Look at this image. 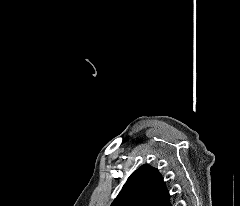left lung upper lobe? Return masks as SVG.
Returning a JSON list of instances; mask_svg holds the SVG:
<instances>
[{
	"label": "left lung upper lobe",
	"mask_w": 240,
	"mask_h": 206,
	"mask_svg": "<svg viewBox=\"0 0 240 206\" xmlns=\"http://www.w3.org/2000/svg\"><path fill=\"white\" fill-rule=\"evenodd\" d=\"M111 206H171V203L161 174L146 164L130 175Z\"/></svg>",
	"instance_id": "1"
}]
</instances>
